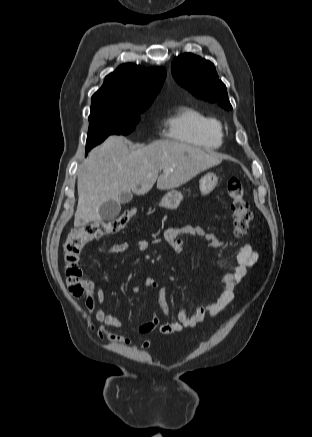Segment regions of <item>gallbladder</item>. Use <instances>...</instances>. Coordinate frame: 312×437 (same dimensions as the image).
I'll list each match as a JSON object with an SVG mask.
<instances>
[{
    "mask_svg": "<svg viewBox=\"0 0 312 437\" xmlns=\"http://www.w3.org/2000/svg\"><path fill=\"white\" fill-rule=\"evenodd\" d=\"M132 197L131 192H122L119 201L109 200L102 204L99 208L100 219L103 221L115 219L121 211V204L130 202Z\"/></svg>",
    "mask_w": 312,
    "mask_h": 437,
    "instance_id": "obj_1",
    "label": "gallbladder"
}]
</instances>
